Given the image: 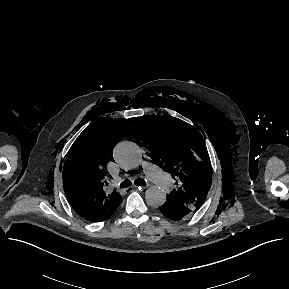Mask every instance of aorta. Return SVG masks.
I'll return each instance as SVG.
<instances>
[{"label":"aorta","instance_id":"obj_1","mask_svg":"<svg viewBox=\"0 0 289 289\" xmlns=\"http://www.w3.org/2000/svg\"><path fill=\"white\" fill-rule=\"evenodd\" d=\"M114 159L121 167L134 169L141 164L142 151L134 142L122 141L114 148ZM145 199L148 205L157 208L166 202V193L162 188L152 186L146 190Z\"/></svg>","mask_w":289,"mask_h":289}]
</instances>
